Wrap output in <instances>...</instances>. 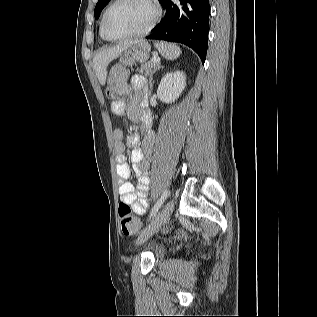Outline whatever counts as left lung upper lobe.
Masks as SVG:
<instances>
[{
	"instance_id": "5c2ea615",
	"label": "left lung upper lobe",
	"mask_w": 317,
	"mask_h": 317,
	"mask_svg": "<svg viewBox=\"0 0 317 317\" xmlns=\"http://www.w3.org/2000/svg\"><path fill=\"white\" fill-rule=\"evenodd\" d=\"M110 0H98V3L96 4L94 14H95V19H98L100 12L102 9L108 4ZM159 2L162 4L164 0H159Z\"/></svg>"
}]
</instances>
